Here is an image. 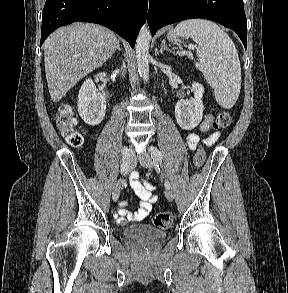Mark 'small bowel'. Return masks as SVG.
<instances>
[{
	"label": "small bowel",
	"instance_id": "c3829d8e",
	"mask_svg": "<svg viewBox=\"0 0 288 293\" xmlns=\"http://www.w3.org/2000/svg\"><path fill=\"white\" fill-rule=\"evenodd\" d=\"M212 121L213 116L211 114L207 115L200 124L199 130L201 132L208 131ZM219 137L220 134L218 132L213 133L205 140V143L212 145ZM199 141L200 138L196 133H190L186 136V144L191 151L196 149ZM131 187L140 200V208L135 212H131L126 208L128 203L123 201L120 205L119 216L117 217V222L120 224H124L127 220L140 221L144 219L150 213L152 204L157 200V196L154 194V187L146 180L140 181L137 172H133L131 175Z\"/></svg>",
	"mask_w": 288,
	"mask_h": 293
}]
</instances>
